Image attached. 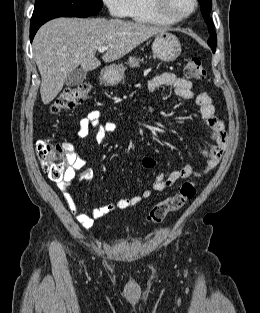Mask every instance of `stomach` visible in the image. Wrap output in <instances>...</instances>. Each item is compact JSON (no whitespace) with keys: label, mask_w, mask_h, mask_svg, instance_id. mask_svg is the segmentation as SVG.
I'll return each mask as SVG.
<instances>
[{"label":"stomach","mask_w":260,"mask_h":313,"mask_svg":"<svg viewBox=\"0 0 260 313\" xmlns=\"http://www.w3.org/2000/svg\"><path fill=\"white\" fill-rule=\"evenodd\" d=\"M153 54L162 61H174L181 53V45L178 38L169 32L158 33L152 44ZM132 67L138 66L135 58L130 59ZM123 65H110L106 67L102 74L104 82L114 85L122 80L125 72Z\"/></svg>","instance_id":"1"}]
</instances>
